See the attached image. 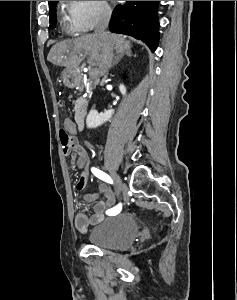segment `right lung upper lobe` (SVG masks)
I'll return each instance as SVG.
<instances>
[{"mask_svg":"<svg viewBox=\"0 0 237 300\" xmlns=\"http://www.w3.org/2000/svg\"><path fill=\"white\" fill-rule=\"evenodd\" d=\"M53 1H48V3H52Z\"/></svg>","mask_w":237,"mask_h":300,"instance_id":"right-lung-upper-lobe-1","label":"right lung upper lobe"}]
</instances>
